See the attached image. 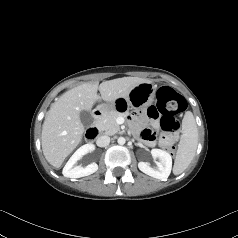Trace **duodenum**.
Here are the masks:
<instances>
[{
  "instance_id": "410a0bca",
  "label": "duodenum",
  "mask_w": 238,
  "mask_h": 238,
  "mask_svg": "<svg viewBox=\"0 0 238 238\" xmlns=\"http://www.w3.org/2000/svg\"><path fill=\"white\" fill-rule=\"evenodd\" d=\"M104 114H105V110L103 108H98L94 111V114H93L94 123L86 132V137L88 139L92 140L98 136L99 130L97 127V123L101 120Z\"/></svg>"
}]
</instances>
